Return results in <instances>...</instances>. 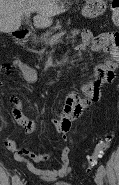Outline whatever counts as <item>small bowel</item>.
Segmentation results:
<instances>
[{
	"instance_id": "c3829d8e",
	"label": "small bowel",
	"mask_w": 119,
	"mask_h": 185,
	"mask_svg": "<svg viewBox=\"0 0 119 185\" xmlns=\"http://www.w3.org/2000/svg\"><path fill=\"white\" fill-rule=\"evenodd\" d=\"M81 37L82 42L76 47L78 51H84L90 48L94 52L108 54V58L104 63L95 67L93 80L81 87L83 96L79 95L76 91H71L66 97L59 114L50 121L58 136V141L63 143V146L57 150L60 153L58 167L55 169H42L36 166V164L51 160L55 152L36 154L27 149L18 148L13 140H6V145L12 151L15 159L32 174L44 181H55L67 176L71 172V123L73 120L79 118L85 109L100 99L101 87L114 80L115 70L119 64L118 32L94 34L91 30H84ZM11 68H18L24 80L29 84H33L38 80L39 75L37 70L20 59H14L11 63L3 65L5 71H9ZM10 102L14 117L26 133L35 134L43 130V123H38L27 118L24 113L23 104L17 97H10Z\"/></svg>"
}]
</instances>
